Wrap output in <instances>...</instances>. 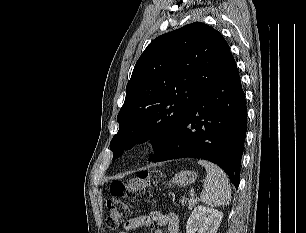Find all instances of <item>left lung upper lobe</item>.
I'll use <instances>...</instances> for the list:
<instances>
[{"instance_id": "1", "label": "left lung upper lobe", "mask_w": 306, "mask_h": 233, "mask_svg": "<svg viewBox=\"0 0 306 233\" xmlns=\"http://www.w3.org/2000/svg\"><path fill=\"white\" fill-rule=\"evenodd\" d=\"M229 54L223 36L200 22L154 39L127 84L110 142L114 159L149 138L160 153Z\"/></svg>"}]
</instances>
